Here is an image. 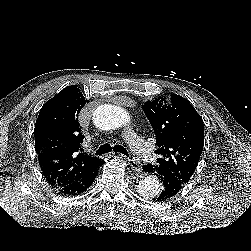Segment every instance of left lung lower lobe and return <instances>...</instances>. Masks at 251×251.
<instances>
[{"instance_id":"1","label":"left lung lower lobe","mask_w":251,"mask_h":251,"mask_svg":"<svg viewBox=\"0 0 251 251\" xmlns=\"http://www.w3.org/2000/svg\"><path fill=\"white\" fill-rule=\"evenodd\" d=\"M143 170L157 175L163 183L160 193L153 198V201L155 202H163L172 198L182 187H184V185H182V183L167 170L160 169L151 164L145 165Z\"/></svg>"}]
</instances>
